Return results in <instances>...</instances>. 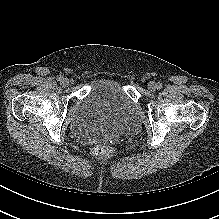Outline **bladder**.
<instances>
[{
  "mask_svg": "<svg viewBox=\"0 0 219 219\" xmlns=\"http://www.w3.org/2000/svg\"><path fill=\"white\" fill-rule=\"evenodd\" d=\"M140 109L124 85L112 77H101L89 88L69 123L71 133L91 141L109 140L134 129Z\"/></svg>",
  "mask_w": 219,
  "mask_h": 219,
  "instance_id": "obj_1",
  "label": "bladder"
}]
</instances>
